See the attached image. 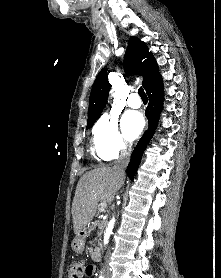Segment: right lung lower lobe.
I'll return each instance as SVG.
<instances>
[{"mask_svg":"<svg viewBox=\"0 0 221 278\" xmlns=\"http://www.w3.org/2000/svg\"><path fill=\"white\" fill-rule=\"evenodd\" d=\"M146 92L149 97V104L147 106L145 115L149 122V128L146 130L142 138L139 140L137 146L135 147L130 163L127 167V174L132 180L138 166L140 164L143 152L155 132L157 127L159 115L162 109L164 87L161 75H159L154 81H152L147 87Z\"/></svg>","mask_w":221,"mask_h":278,"instance_id":"right-lung-lower-lobe-1","label":"right lung lower lobe"}]
</instances>
